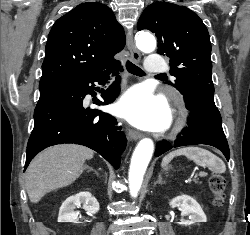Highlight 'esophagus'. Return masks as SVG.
<instances>
[{
    "label": "esophagus",
    "mask_w": 250,
    "mask_h": 235,
    "mask_svg": "<svg viewBox=\"0 0 250 235\" xmlns=\"http://www.w3.org/2000/svg\"><path fill=\"white\" fill-rule=\"evenodd\" d=\"M126 44H127V48H128L131 59L134 62H139L141 60V55H140V52L135 47L133 37L130 31H128L127 36H126ZM128 134L131 140H134V141L142 137V134L135 129H129Z\"/></svg>",
    "instance_id": "obj_1"
}]
</instances>
